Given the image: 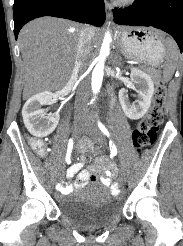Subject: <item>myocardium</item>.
<instances>
[{"label": "myocardium", "mask_w": 183, "mask_h": 246, "mask_svg": "<svg viewBox=\"0 0 183 246\" xmlns=\"http://www.w3.org/2000/svg\"><path fill=\"white\" fill-rule=\"evenodd\" d=\"M121 1H123V2H131L133 0H121Z\"/></svg>", "instance_id": "f54148a6"}]
</instances>
